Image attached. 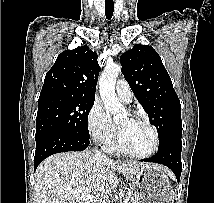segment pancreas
Returning a JSON list of instances; mask_svg holds the SVG:
<instances>
[{
  "label": "pancreas",
  "instance_id": "cf45deb5",
  "mask_svg": "<svg viewBox=\"0 0 214 203\" xmlns=\"http://www.w3.org/2000/svg\"><path fill=\"white\" fill-rule=\"evenodd\" d=\"M128 203H138V202H137L136 198L132 197L128 200Z\"/></svg>",
  "mask_w": 214,
  "mask_h": 203
}]
</instances>
